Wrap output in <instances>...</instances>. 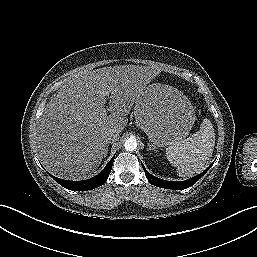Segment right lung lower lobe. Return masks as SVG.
I'll return each mask as SVG.
<instances>
[{
  "instance_id": "98d812e1",
  "label": "right lung lower lobe",
  "mask_w": 257,
  "mask_h": 257,
  "mask_svg": "<svg viewBox=\"0 0 257 257\" xmlns=\"http://www.w3.org/2000/svg\"><path fill=\"white\" fill-rule=\"evenodd\" d=\"M114 157L109 161V163L106 165V167L103 169L102 172H100L98 175L91 179H87L84 181H69V180H63L57 177H54L50 175L57 183L65 187L66 189L72 190V191H86L90 189L97 188L101 185H103L106 180L108 179V176L110 174L112 164H113Z\"/></svg>"
}]
</instances>
